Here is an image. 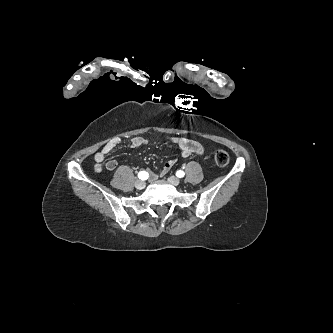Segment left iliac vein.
Listing matches in <instances>:
<instances>
[{"mask_svg": "<svg viewBox=\"0 0 333 333\" xmlns=\"http://www.w3.org/2000/svg\"><path fill=\"white\" fill-rule=\"evenodd\" d=\"M168 181L174 186H178L180 184V179L175 176L169 177Z\"/></svg>", "mask_w": 333, "mask_h": 333, "instance_id": "4c4485c4", "label": "left iliac vein"}]
</instances>
